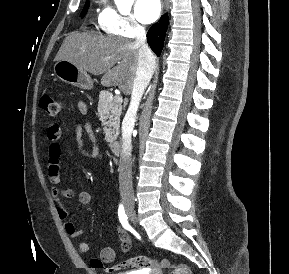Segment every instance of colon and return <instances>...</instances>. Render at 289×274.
I'll list each match as a JSON object with an SVG mask.
<instances>
[{
  "mask_svg": "<svg viewBox=\"0 0 289 274\" xmlns=\"http://www.w3.org/2000/svg\"><path fill=\"white\" fill-rule=\"evenodd\" d=\"M39 106L48 115L56 116L61 111L62 102L50 94H44L40 98ZM91 264L93 268L104 269L107 272L130 270L147 273L151 270L162 271L171 269L170 274H193L191 268L187 265L174 264L168 259L155 260L146 256L132 257L108 267L104 266L103 262L99 259H92Z\"/></svg>",
  "mask_w": 289,
  "mask_h": 274,
  "instance_id": "colon-1",
  "label": "colon"
}]
</instances>
